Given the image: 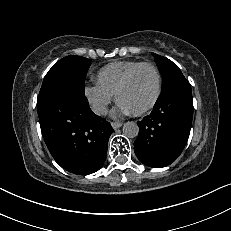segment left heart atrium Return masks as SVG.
<instances>
[{"label": "left heart atrium", "mask_w": 231, "mask_h": 231, "mask_svg": "<svg viewBox=\"0 0 231 231\" xmlns=\"http://www.w3.org/2000/svg\"><path fill=\"white\" fill-rule=\"evenodd\" d=\"M115 114H131L132 112L123 106L122 104L118 103L117 109L114 111Z\"/></svg>", "instance_id": "1"}]
</instances>
